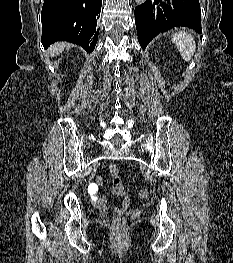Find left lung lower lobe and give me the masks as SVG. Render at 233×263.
<instances>
[{
  "label": "left lung lower lobe",
  "mask_w": 233,
  "mask_h": 263,
  "mask_svg": "<svg viewBox=\"0 0 233 263\" xmlns=\"http://www.w3.org/2000/svg\"><path fill=\"white\" fill-rule=\"evenodd\" d=\"M138 40L144 49L160 32L185 26L202 32L199 0H146L135 8Z\"/></svg>",
  "instance_id": "0a47b994"
}]
</instances>
